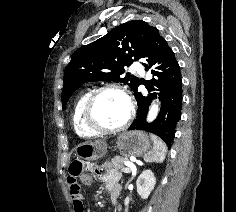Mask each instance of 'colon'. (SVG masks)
I'll return each instance as SVG.
<instances>
[{"label": "colon", "instance_id": "colon-1", "mask_svg": "<svg viewBox=\"0 0 236 212\" xmlns=\"http://www.w3.org/2000/svg\"><path fill=\"white\" fill-rule=\"evenodd\" d=\"M70 169L71 175H78V178L82 180L83 185H90L96 175V170L83 162H74Z\"/></svg>", "mask_w": 236, "mask_h": 212}]
</instances>
